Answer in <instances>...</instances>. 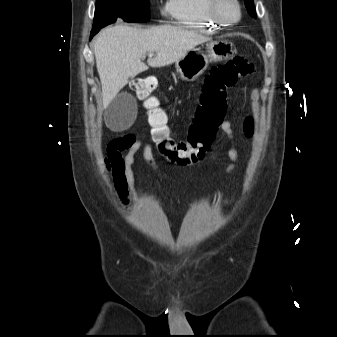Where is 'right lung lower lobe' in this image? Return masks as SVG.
Wrapping results in <instances>:
<instances>
[{"mask_svg": "<svg viewBox=\"0 0 337 337\" xmlns=\"http://www.w3.org/2000/svg\"><path fill=\"white\" fill-rule=\"evenodd\" d=\"M106 25H98L96 27H93L92 31H91V38L97 33L99 32V30L103 27H105Z\"/></svg>", "mask_w": 337, "mask_h": 337, "instance_id": "obj_1", "label": "right lung lower lobe"}]
</instances>
